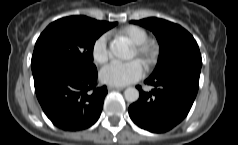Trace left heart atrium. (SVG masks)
<instances>
[{"label": "left heart atrium", "instance_id": "obj_1", "mask_svg": "<svg viewBox=\"0 0 238 145\" xmlns=\"http://www.w3.org/2000/svg\"><path fill=\"white\" fill-rule=\"evenodd\" d=\"M143 75V66L138 60L112 62L99 73L101 82L111 86H125L137 81Z\"/></svg>", "mask_w": 238, "mask_h": 145}]
</instances>
